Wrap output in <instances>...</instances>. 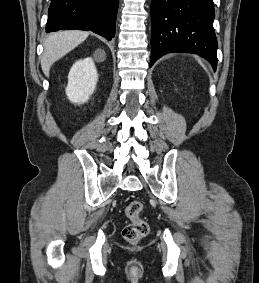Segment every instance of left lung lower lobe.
<instances>
[{
	"instance_id": "1",
	"label": "left lung lower lobe",
	"mask_w": 259,
	"mask_h": 283,
	"mask_svg": "<svg viewBox=\"0 0 259 283\" xmlns=\"http://www.w3.org/2000/svg\"><path fill=\"white\" fill-rule=\"evenodd\" d=\"M213 0H152L150 67L163 54L191 52L217 66Z\"/></svg>"
}]
</instances>
